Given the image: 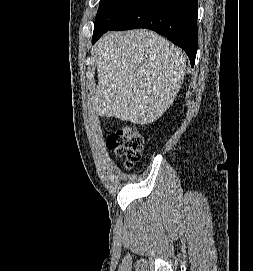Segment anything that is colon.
Segmentation results:
<instances>
[{
  "instance_id": "1",
  "label": "colon",
  "mask_w": 253,
  "mask_h": 271,
  "mask_svg": "<svg viewBox=\"0 0 253 271\" xmlns=\"http://www.w3.org/2000/svg\"><path fill=\"white\" fill-rule=\"evenodd\" d=\"M107 146L117 157L124 158L126 168L131 169L141 158L144 138L137 129L126 125L109 135Z\"/></svg>"
}]
</instances>
